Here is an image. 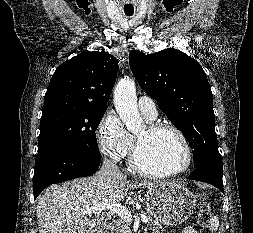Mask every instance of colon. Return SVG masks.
<instances>
[{
	"label": "colon",
	"mask_w": 253,
	"mask_h": 233,
	"mask_svg": "<svg viewBox=\"0 0 253 233\" xmlns=\"http://www.w3.org/2000/svg\"><path fill=\"white\" fill-rule=\"evenodd\" d=\"M201 209L198 215V225L200 227V233H213L209 224L210 219V206L206 201L205 196H200Z\"/></svg>",
	"instance_id": "colon-1"
}]
</instances>
